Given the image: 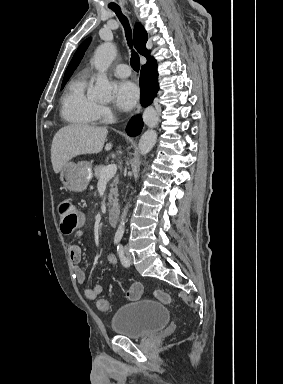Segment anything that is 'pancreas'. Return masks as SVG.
Masks as SVG:
<instances>
[{
    "label": "pancreas",
    "mask_w": 283,
    "mask_h": 384,
    "mask_svg": "<svg viewBox=\"0 0 283 384\" xmlns=\"http://www.w3.org/2000/svg\"><path fill=\"white\" fill-rule=\"evenodd\" d=\"M105 166H95L94 174L97 180H100V174ZM118 178H115L114 182L110 184V194L108 196V206H115L117 204L118 190H117Z\"/></svg>",
    "instance_id": "obj_1"
}]
</instances>
